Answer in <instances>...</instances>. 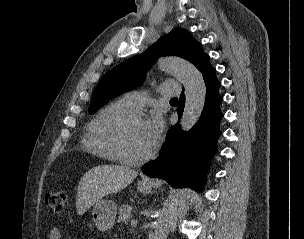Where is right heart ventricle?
Instances as JSON below:
<instances>
[{
	"label": "right heart ventricle",
	"instance_id": "1",
	"mask_svg": "<svg viewBox=\"0 0 304 239\" xmlns=\"http://www.w3.org/2000/svg\"><path fill=\"white\" fill-rule=\"evenodd\" d=\"M134 113L122 100L105 106L86 126L82 140L84 149L102 159L117 162L111 145L112 130L118 122Z\"/></svg>",
	"mask_w": 304,
	"mask_h": 239
}]
</instances>
